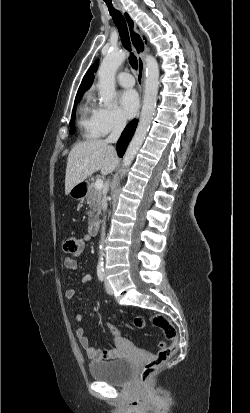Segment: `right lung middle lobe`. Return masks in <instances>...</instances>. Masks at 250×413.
Here are the masks:
<instances>
[{
    "instance_id": "1",
    "label": "right lung middle lobe",
    "mask_w": 250,
    "mask_h": 413,
    "mask_svg": "<svg viewBox=\"0 0 250 413\" xmlns=\"http://www.w3.org/2000/svg\"><path fill=\"white\" fill-rule=\"evenodd\" d=\"M81 97L82 96H78V97L75 98V105H77V103L80 101ZM74 120H75V110L73 109L72 118H71V121H70V133L71 134L74 133V131H75V127H74V124H73Z\"/></svg>"
}]
</instances>
